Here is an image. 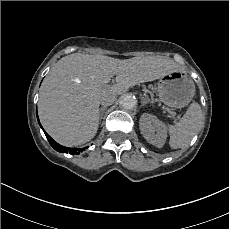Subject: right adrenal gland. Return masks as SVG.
I'll list each match as a JSON object with an SVG mask.
<instances>
[{
    "label": "right adrenal gland",
    "mask_w": 229,
    "mask_h": 229,
    "mask_svg": "<svg viewBox=\"0 0 229 229\" xmlns=\"http://www.w3.org/2000/svg\"><path fill=\"white\" fill-rule=\"evenodd\" d=\"M106 109H107V106H103L100 108V110H99L100 121L103 118V114H104Z\"/></svg>",
    "instance_id": "obj_1"
}]
</instances>
